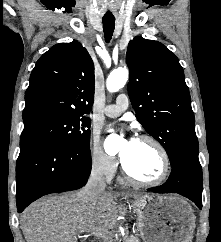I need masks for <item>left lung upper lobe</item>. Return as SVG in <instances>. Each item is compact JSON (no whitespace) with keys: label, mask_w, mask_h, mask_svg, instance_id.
<instances>
[{"label":"left lung upper lobe","mask_w":221,"mask_h":242,"mask_svg":"<svg viewBox=\"0 0 221 242\" xmlns=\"http://www.w3.org/2000/svg\"><path fill=\"white\" fill-rule=\"evenodd\" d=\"M128 93L136 118L165 148L171 166L198 154L191 98L178 58L162 43L135 37L127 47Z\"/></svg>","instance_id":"1"}]
</instances>
